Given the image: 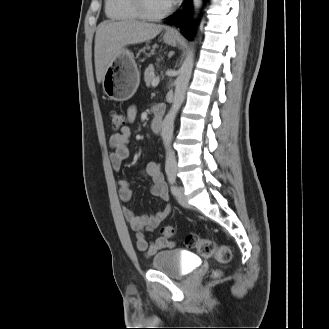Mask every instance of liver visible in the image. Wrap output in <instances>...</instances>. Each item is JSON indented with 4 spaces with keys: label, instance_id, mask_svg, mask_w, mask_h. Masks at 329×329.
Returning <instances> with one entry per match:
<instances>
[{
    "label": "liver",
    "instance_id": "1",
    "mask_svg": "<svg viewBox=\"0 0 329 329\" xmlns=\"http://www.w3.org/2000/svg\"><path fill=\"white\" fill-rule=\"evenodd\" d=\"M162 25L139 21H103L95 36L94 58L98 83L103 81L107 67L127 45L138 44L155 38Z\"/></svg>",
    "mask_w": 329,
    "mask_h": 329
}]
</instances>
